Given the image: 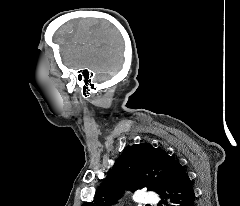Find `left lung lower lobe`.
Here are the masks:
<instances>
[{
    "mask_svg": "<svg viewBox=\"0 0 240 206\" xmlns=\"http://www.w3.org/2000/svg\"><path fill=\"white\" fill-rule=\"evenodd\" d=\"M161 196L162 199L169 196L174 203L172 206H195L196 197L192 182L184 167L178 161L174 163L166 189ZM158 206H162V204L159 203Z\"/></svg>",
    "mask_w": 240,
    "mask_h": 206,
    "instance_id": "0a47b994",
    "label": "left lung lower lobe"
}]
</instances>
